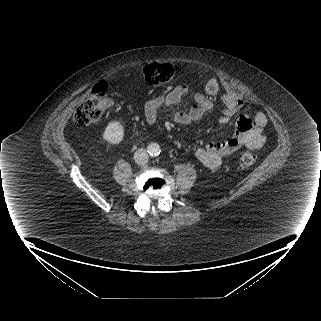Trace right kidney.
Returning <instances> with one entry per match:
<instances>
[{
    "label": "right kidney",
    "instance_id": "obj_1",
    "mask_svg": "<svg viewBox=\"0 0 321 321\" xmlns=\"http://www.w3.org/2000/svg\"><path fill=\"white\" fill-rule=\"evenodd\" d=\"M124 136V125L118 121L109 122L106 126L102 138L109 144L120 143Z\"/></svg>",
    "mask_w": 321,
    "mask_h": 321
}]
</instances>
